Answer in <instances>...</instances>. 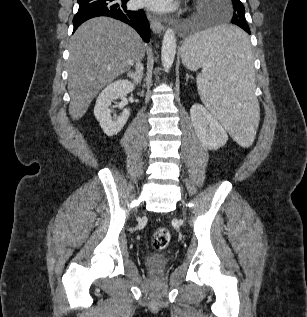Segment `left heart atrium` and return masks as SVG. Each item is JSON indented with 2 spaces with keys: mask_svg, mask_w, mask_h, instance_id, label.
<instances>
[{
  "mask_svg": "<svg viewBox=\"0 0 307 317\" xmlns=\"http://www.w3.org/2000/svg\"><path fill=\"white\" fill-rule=\"evenodd\" d=\"M143 3L158 11L167 10L173 6V0H143Z\"/></svg>",
  "mask_w": 307,
  "mask_h": 317,
  "instance_id": "1",
  "label": "left heart atrium"
}]
</instances>
